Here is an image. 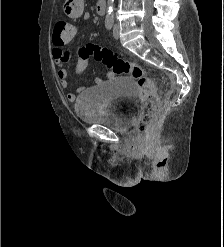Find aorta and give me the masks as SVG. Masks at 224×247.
<instances>
[{"label": "aorta", "mask_w": 224, "mask_h": 247, "mask_svg": "<svg viewBox=\"0 0 224 247\" xmlns=\"http://www.w3.org/2000/svg\"><path fill=\"white\" fill-rule=\"evenodd\" d=\"M106 18H109V20H113L114 18V0H107Z\"/></svg>", "instance_id": "762f6f07"}]
</instances>
